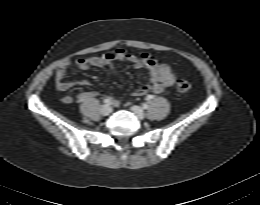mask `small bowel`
Masks as SVG:
<instances>
[{"label":"small bowel","mask_w":260,"mask_h":205,"mask_svg":"<svg viewBox=\"0 0 260 205\" xmlns=\"http://www.w3.org/2000/svg\"><path fill=\"white\" fill-rule=\"evenodd\" d=\"M116 62H127L131 64L135 69L145 68L149 71L150 80L143 83L133 92L135 96H144L148 92L160 94L164 93L175 81V75L171 67L167 64L159 63L157 58L149 53H142L136 55L129 53L126 50L119 48L113 52L105 53L100 56H91L87 58H79L74 62L66 60L61 63L55 72V87L59 91L69 90L75 82L66 80V71L72 64L79 70H89L92 67H104L110 66L114 69ZM99 94L98 92H85L78 96V99L83 101L89 97ZM114 106H118L120 101L113 95L108 93H102ZM61 101L65 104H69L73 101L71 95L65 94L61 97Z\"/></svg>","instance_id":"small-bowel-1"}]
</instances>
